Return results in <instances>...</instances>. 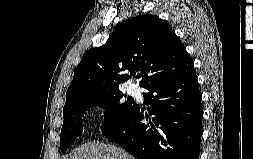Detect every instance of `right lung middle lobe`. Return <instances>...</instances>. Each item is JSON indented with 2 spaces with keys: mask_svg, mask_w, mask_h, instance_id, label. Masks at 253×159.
<instances>
[{
  "mask_svg": "<svg viewBox=\"0 0 253 159\" xmlns=\"http://www.w3.org/2000/svg\"><path fill=\"white\" fill-rule=\"evenodd\" d=\"M122 97L123 93L120 90L107 91L81 97L65 104L63 108L64 122L60 136L61 151H65L81 135L83 131L82 117L93 106L105 109V121L101 128L103 132L125 122L137 104L131 100L123 102Z\"/></svg>",
  "mask_w": 253,
  "mask_h": 159,
  "instance_id": "right-lung-middle-lobe-1",
  "label": "right lung middle lobe"
}]
</instances>
